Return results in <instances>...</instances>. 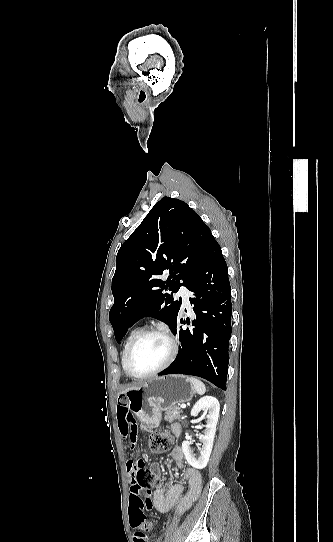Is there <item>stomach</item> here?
<instances>
[{
    "mask_svg": "<svg viewBox=\"0 0 333 542\" xmlns=\"http://www.w3.org/2000/svg\"><path fill=\"white\" fill-rule=\"evenodd\" d=\"M195 390L187 376H156L141 384L138 390H130L118 396V402H125L129 412L145 426L156 428L162 418V410H169L175 404L190 402Z\"/></svg>",
    "mask_w": 333,
    "mask_h": 542,
    "instance_id": "0dacf381",
    "label": "stomach"
}]
</instances>
